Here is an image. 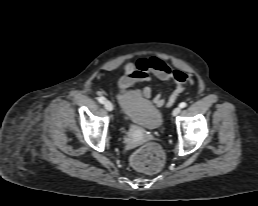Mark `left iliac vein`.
I'll return each instance as SVG.
<instances>
[{"label": "left iliac vein", "instance_id": "4c4485c4", "mask_svg": "<svg viewBox=\"0 0 258 206\" xmlns=\"http://www.w3.org/2000/svg\"><path fill=\"white\" fill-rule=\"evenodd\" d=\"M180 111H181L180 107H176V108L173 110L172 115H173V116H177V115L180 113Z\"/></svg>", "mask_w": 258, "mask_h": 206}]
</instances>
